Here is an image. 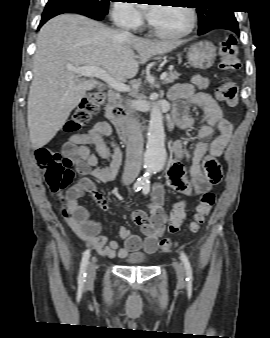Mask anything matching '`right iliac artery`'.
Here are the masks:
<instances>
[{
    "label": "right iliac artery",
    "mask_w": 270,
    "mask_h": 338,
    "mask_svg": "<svg viewBox=\"0 0 270 338\" xmlns=\"http://www.w3.org/2000/svg\"><path fill=\"white\" fill-rule=\"evenodd\" d=\"M144 183L145 182L140 181V180L136 181L134 183L133 190L135 192L139 191L143 187ZM89 257H90V251L86 250L83 254L81 265H80V272H79V276H78L79 285H83L84 282H85L86 269H87Z\"/></svg>",
    "instance_id": "82829eb1"
}]
</instances>
